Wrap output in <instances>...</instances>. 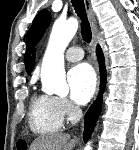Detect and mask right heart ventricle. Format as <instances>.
<instances>
[{"label":"right heart ventricle","instance_id":"obj_1","mask_svg":"<svg viewBox=\"0 0 139 150\" xmlns=\"http://www.w3.org/2000/svg\"><path fill=\"white\" fill-rule=\"evenodd\" d=\"M64 121V115L58 107L57 98L45 93H34L29 106L28 123L37 134L58 131Z\"/></svg>","mask_w":139,"mask_h":150}]
</instances>
